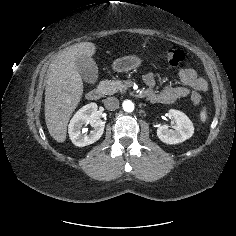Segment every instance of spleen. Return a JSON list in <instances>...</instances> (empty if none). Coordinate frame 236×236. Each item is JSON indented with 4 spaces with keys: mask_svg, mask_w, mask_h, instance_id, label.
Segmentation results:
<instances>
[{
    "mask_svg": "<svg viewBox=\"0 0 236 236\" xmlns=\"http://www.w3.org/2000/svg\"><path fill=\"white\" fill-rule=\"evenodd\" d=\"M200 118H201V121L204 122L207 118V114L205 112V110H203L200 114Z\"/></svg>",
    "mask_w": 236,
    "mask_h": 236,
    "instance_id": "1",
    "label": "spleen"
}]
</instances>
